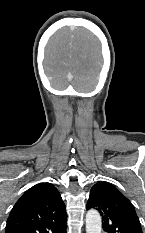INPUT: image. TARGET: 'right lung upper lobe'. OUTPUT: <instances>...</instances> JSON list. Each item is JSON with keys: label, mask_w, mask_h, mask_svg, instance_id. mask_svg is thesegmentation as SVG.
Wrapping results in <instances>:
<instances>
[{"label": "right lung upper lobe", "mask_w": 145, "mask_h": 233, "mask_svg": "<svg viewBox=\"0 0 145 233\" xmlns=\"http://www.w3.org/2000/svg\"><path fill=\"white\" fill-rule=\"evenodd\" d=\"M66 221V208L59 191L51 183H39L16 202L5 233H58Z\"/></svg>", "instance_id": "1"}]
</instances>
